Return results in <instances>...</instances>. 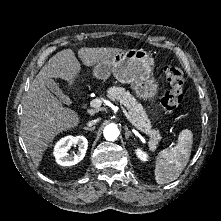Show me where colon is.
<instances>
[{
	"mask_svg": "<svg viewBox=\"0 0 221 221\" xmlns=\"http://www.w3.org/2000/svg\"><path fill=\"white\" fill-rule=\"evenodd\" d=\"M165 77L170 84V89L164 94L161 105L165 114L173 113L181 104L184 94V74L181 69L174 66L165 68Z\"/></svg>",
	"mask_w": 221,
	"mask_h": 221,
	"instance_id": "1",
	"label": "colon"
}]
</instances>
